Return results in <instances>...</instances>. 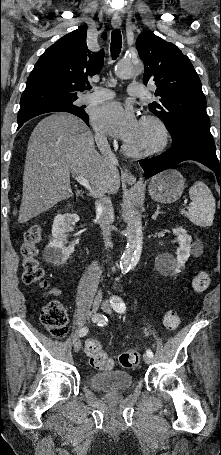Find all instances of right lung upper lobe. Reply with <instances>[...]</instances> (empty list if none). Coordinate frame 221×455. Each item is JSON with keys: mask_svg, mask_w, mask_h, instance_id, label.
Listing matches in <instances>:
<instances>
[{"mask_svg": "<svg viewBox=\"0 0 221 455\" xmlns=\"http://www.w3.org/2000/svg\"><path fill=\"white\" fill-rule=\"evenodd\" d=\"M86 31L85 27H80L44 52L29 75L21 96L20 109L46 107L62 100L78 98L77 94L85 89L87 76L101 71L104 52L88 50Z\"/></svg>", "mask_w": 221, "mask_h": 455, "instance_id": "obj_1", "label": "right lung upper lobe"}]
</instances>
